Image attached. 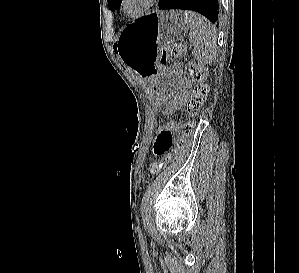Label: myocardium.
I'll list each match as a JSON object with an SVG mask.
<instances>
[{
  "label": "myocardium",
  "instance_id": "1",
  "mask_svg": "<svg viewBox=\"0 0 299 273\" xmlns=\"http://www.w3.org/2000/svg\"><path fill=\"white\" fill-rule=\"evenodd\" d=\"M158 0H144L143 5L141 6V8H139L138 10L134 11V12H129L126 10V2L127 0H121V11L128 17H139L142 16L143 14H145L147 11H149L157 2Z\"/></svg>",
  "mask_w": 299,
  "mask_h": 273
}]
</instances>
